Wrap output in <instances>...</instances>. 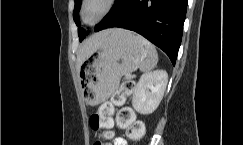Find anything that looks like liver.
Wrapping results in <instances>:
<instances>
[{
  "mask_svg": "<svg viewBox=\"0 0 243 145\" xmlns=\"http://www.w3.org/2000/svg\"><path fill=\"white\" fill-rule=\"evenodd\" d=\"M109 32L110 30H104L93 34L82 43L77 53V69H79L82 63L102 44L104 38L109 34Z\"/></svg>",
  "mask_w": 243,
  "mask_h": 145,
  "instance_id": "6515ba94",
  "label": "liver"
}]
</instances>
